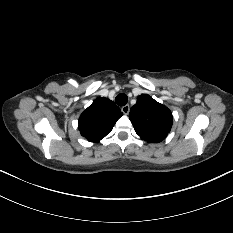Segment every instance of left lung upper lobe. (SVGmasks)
Masks as SVG:
<instances>
[{
	"label": "left lung upper lobe",
	"mask_w": 233,
	"mask_h": 233,
	"mask_svg": "<svg viewBox=\"0 0 233 233\" xmlns=\"http://www.w3.org/2000/svg\"><path fill=\"white\" fill-rule=\"evenodd\" d=\"M129 119L136 133L148 143L164 140L173 123L170 110L147 94L138 97L137 103L131 108Z\"/></svg>",
	"instance_id": "1"
}]
</instances>
